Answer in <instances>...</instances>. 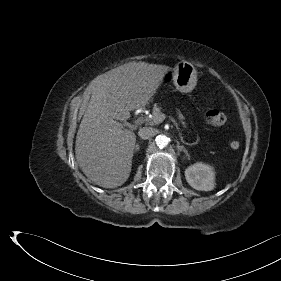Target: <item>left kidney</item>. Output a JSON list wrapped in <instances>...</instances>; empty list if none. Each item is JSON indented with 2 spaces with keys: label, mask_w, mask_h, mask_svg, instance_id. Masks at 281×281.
Here are the masks:
<instances>
[{
  "label": "left kidney",
  "mask_w": 281,
  "mask_h": 281,
  "mask_svg": "<svg viewBox=\"0 0 281 281\" xmlns=\"http://www.w3.org/2000/svg\"><path fill=\"white\" fill-rule=\"evenodd\" d=\"M188 184L199 191H211L215 187V172L213 167L204 163H195L185 170Z\"/></svg>",
  "instance_id": "1"
}]
</instances>
